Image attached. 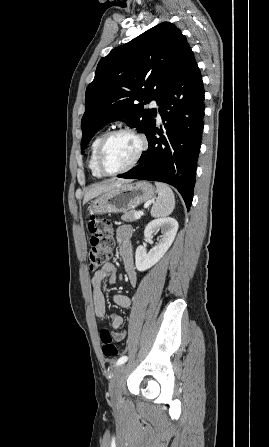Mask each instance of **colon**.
I'll list each match as a JSON object with an SVG mask.
<instances>
[{
    "label": "colon",
    "mask_w": 269,
    "mask_h": 447,
    "mask_svg": "<svg viewBox=\"0 0 269 447\" xmlns=\"http://www.w3.org/2000/svg\"><path fill=\"white\" fill-rule=\"evenodd\" d=\"M88 219V230L91 234L92 248L89 251L88 259L91 270L99 269L106 265L110 258V251L113 246V233L109 220L95 216L91 212L86 214ZM101 340V350L106 358H117L119 350L113 342L111 330L102 327L99 331Z\"/></svg>",
    "instance_id": "obj_1"
}]
</instances>
